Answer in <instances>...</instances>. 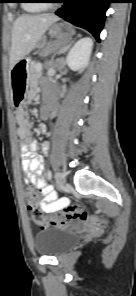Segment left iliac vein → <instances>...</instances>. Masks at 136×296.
<instances>
[{"instance_id":"1","label":"left iliac vein","mask_w":136,"mask_h":296,"mask_svg":"<svg viewBox=\"0 0 136 296\" xmlns=\"http://www.w3.org/2000/svg\"><path fill=\"white\" fill-rule=\"evenodd\" d=\"M56 186L59 190H63L65 186V176L62 172L57 171L55 174Z\"/></svg>"}]
</instances>
